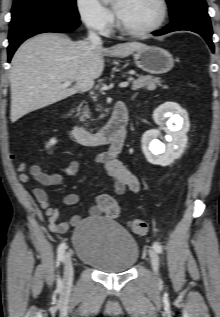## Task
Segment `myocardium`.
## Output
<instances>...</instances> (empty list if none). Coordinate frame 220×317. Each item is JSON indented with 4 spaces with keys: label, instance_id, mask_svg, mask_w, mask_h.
<instances>
[{
    "label": "myocardium",
    "instance_id": "obj_1",
    "mask_svg": "<svg viewBox=\"0 0 220 317\" xmlns=\"http://www.w3.org/2000/svg\"><path fill=\"white\" fill-rule=\"evenodd\" d=\"M157 2L160 6V16L158 20L150 27L143 28V29H131L122 25L119 19L116 18V28L122 34L127 36H133V37L145 36V35H149L156 32L164 25L168 16V11H169L168 3L166 0H157Z\"/></svg>",
    "mask_w": 220,
    "mask_h": 317
}]
</instances>
